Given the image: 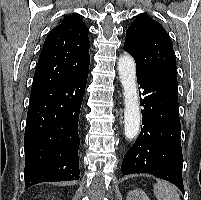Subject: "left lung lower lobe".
<instances>
[{
  "instance_id": "left-lung-lower-lobe-1",
  "label": "left lung lower lobe",
  "mask_w": 201,
  "mask_h": 200,
  "mask_svg": "<svg viewBox=\"0 0 201 200\" xmlns=\"http://www.w3.org/2000/svg\"><path fill=\"white\" fill-rule=\"evenodd\" d=\"M142 110L141 132L124 155L123 175L149 173L176 185L182 193L183 155L177 74L137 72Z\"/></svg>"
}]
</instances>
